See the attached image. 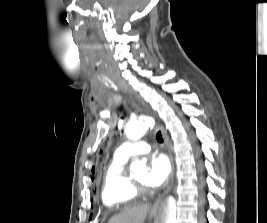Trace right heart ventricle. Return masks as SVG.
Masks as SVG:
<instances>
[{"label": "right heart ventricle", "mask_w": 267, "mask_h": 223, "mask_svg": "<svg viewBox=\"0 0 267 223\" xmlns=\"http://www.w3.org/2000/svg\"><path fill=\"white\" fill-rule=\"evenodd\" d=\"M127 160L128 158L119 157L116 154L105 170L101 201L109 209H119L136 198L125 170Z\"/></svg>", "instance_id": "right-heart-ventricle-1"}]
</instances>
